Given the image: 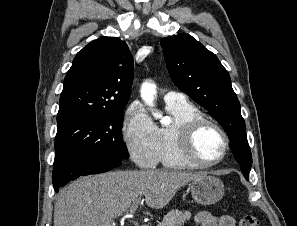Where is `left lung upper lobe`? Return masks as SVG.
<instances>
[{
    "mask_svg": "<svg viewBox=\"0 0 297 226\" xmlns=\"http://www.w3.org/2000/svg\"><path fill=\"white\" fill-rule=\"evenodd\" d=\"M164 57L174 84L207 109L230 139V149L248 179L252 156L239 100L228 71L218 58L188 34L161 39Z\"/></svg>",
    "mask_w": 297,
    "mask_h": 226,
    "instance_id": "5c2ea615",
    "label": "left lung upper lobe"
}]
</instances>
